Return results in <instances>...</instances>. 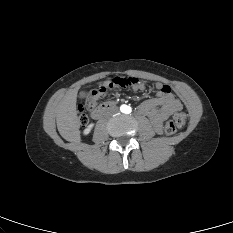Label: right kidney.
<instances>
[{"label":"right kidney","mask_w":233,"mask_h":233,"mask_svg":"<svg viewBox=\"0 0 233 233\" xmlns=\"http://www.w3.org/2000/svg\"><path fill=\"white\" fill-rule=\"evenodd\" d=\"M93 127V124L89 125L85 130H84V135H88Z\"/></svg>","instance_id":"ca27d5eb"}]
</instances>
